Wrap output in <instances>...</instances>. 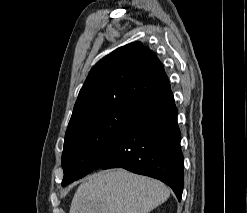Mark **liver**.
I'll use <instances>...</instances> for the list:
<instances>
[{"mask_svg":"<svg viewBox=\"0 0 247 213\" xmlns=\"http://www.w3.org/2000/svg\"><path fill=\"white\" fill-rule=\"evenodd\" d=\"M170 196L162 182L125 169L100 171L77 188L69 213H148Z\"/></svg>","mask_w":247,"mask_h":213,"instance_id":"liver-1","label":"liver"}]
</instances>
